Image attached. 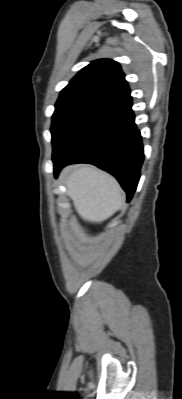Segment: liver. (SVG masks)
Masks as SVG:
<instances>
[{
  "mask_svg": "<svg viewBox=\"0 0 182 399\" xmlns=\"http://www.w3.org/2000/svg\"><path fill=\"white\" fill-rule=\"evenodd\" d=\"M67 194L78 214L89 222H103L119 210L125 200L114 177L92 166H82L66 176Z\"/></svg>",
  "mask_w": 182,
  "mask_h": 399,
  "instance_id": "6515ba94",
  "label": "liver"
}]
</instances>
